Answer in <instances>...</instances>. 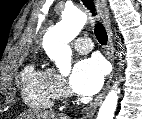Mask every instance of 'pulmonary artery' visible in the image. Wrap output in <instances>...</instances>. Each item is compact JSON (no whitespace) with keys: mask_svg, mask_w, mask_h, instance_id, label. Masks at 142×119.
<instances>
[{"mask_svg":"<svg viewBox=\"0 0 142 119\" xmlns=\"http://www.w3.org/2000/svg\"><path fill=\"white\" fill-rule=\"evenodd\" d=\"M74 48L79 53H88L93 48V43L88 37H80L74 42Z\"/></svg>","mask_w":142,"mask_h":119,"instance_id":"e3ab8cb5","label":"pulmonary artery"}]
</instances>
